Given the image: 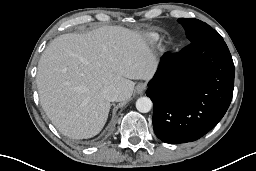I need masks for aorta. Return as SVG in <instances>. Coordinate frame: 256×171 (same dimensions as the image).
Instances as JSON below:
<instances>
[{
  "label": "aorta",
  "mask_w": 256,
  "mask_h": 171,
  "mask_svg": "<svg viewBox=\"0 0 256 171\" xmlns=\"http://www.w3.org/2000/svg\"><path fill=\"white\" fill-rule=\"evenodd\" d=\"M153 103L149 97H140L136 101V109L141 113H147L151 110Z\"/></svg>",
  "instance_id": "1"
}]
</instances>
